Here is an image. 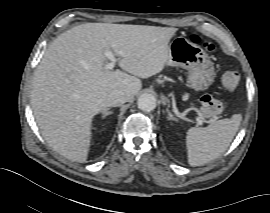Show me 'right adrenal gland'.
<instances>
[{
  "label": "right adrenal gland",
  "instance_id": "obj_1",
  "mask_svg": "<svg viewBox=\"0 0 270 213\" xmlns=\"http://www.w3.org/2000/svg\"><path fill=\"white\" fill-rule=\"evenodd\" d=\"M112 115L111 111H108V109L103 113L102 118H106L107 116Z\"/></svg>",
  "mask_w": 270,
  "mask_h": 213
}]
</instances>
